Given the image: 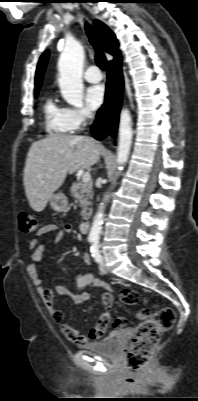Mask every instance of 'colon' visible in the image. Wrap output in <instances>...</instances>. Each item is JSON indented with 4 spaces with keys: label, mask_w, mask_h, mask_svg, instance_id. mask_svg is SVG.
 I'll return each instance as SVG.
<instances>
[{
    "label": "colon",
    "mask_w": 198,
    "mask_h": 401,
    "mask_svg": "<svg viewBox=\"0 0 198 401\" xmlns=\"http://www.w3.org/2000/svg\"><path fill=\"white\" fill-rule=\"evenodd\" d=\"M18 224L24 233L30 234L37 230L36 218L25 210L18 213ZM120 300L126 305H136L140 300V295L133 289H123L120 292ZM175 319V312L170 307L157 306L153 312L148 308L137 311L136 320L139 325L133 334L127 352V366L130 370L139 371L149 363L162 333L172 328ZM126 323L124 317H117L112 322V327L120 329Z\"/></svg>",
    "instance_id": "5ec220e1"
}]
</instances>
